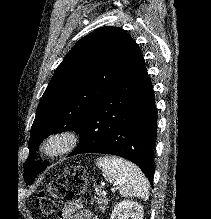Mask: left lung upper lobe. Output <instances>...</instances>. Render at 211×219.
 <instances>
[{"mask_svg": "<svg viewBox=\"0 0 211 219\" xmlns=\"http://www.w3.org/2000/svg\"><path fill=\"white\" fill-rule=\"evenodd\" d=\"M141 54L128 33L102 27L79 40L57 67L45 90L33 125L24 179L30 184L43 169L30 162L40 142L51 134L75 130L84 118Z\"/></svg>", "mask_w": 211, "mask_h": 219, "instance_id": "5c2ea615", "label": "left lung upper lobe"}]
</instances>
